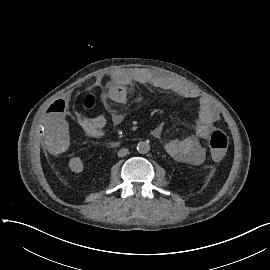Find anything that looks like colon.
Segmentation results:
<instances>
[{"label": "colon", "mask_w": 270, "mask_h": 270, "mask_svg": "<svg viewBox=\"0 0 270 270\" xmlns=\"http://www.w3.org/2000/svg\"><path fill=\"white\" fill-rule=\"evenodd\" d=\"M105 90V86H102L99 90L89 91L78 96V100L81 102L86 112H91L98 103L97 94L99 91ZM229 145V136L225 130L216 129L209 137V147L214 152V159L216 161H223L225 159V150Z\"/></svg>", "instance_id": "colon-1"}]
</instances>
